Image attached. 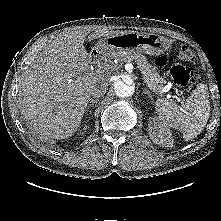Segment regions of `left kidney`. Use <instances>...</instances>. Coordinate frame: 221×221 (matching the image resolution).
Wrapping results in <instances>:
<instances>
[{"instance_id": "left-kidney-1", "label": "left kidney", "mask_w": 221, "mask_h": 221, "mask_svg": "<svg viewBox=\"0 0 221 221\" xmlns=\"http://www.w3.org/2000/svg\"><path fill=\"white\" fill-rule=\"evenodd\" d=\"M150 139L159 145L164 147L173 146V138L170 130L162 122H154L149 125Z\"/></svg>"}]
</instances>
